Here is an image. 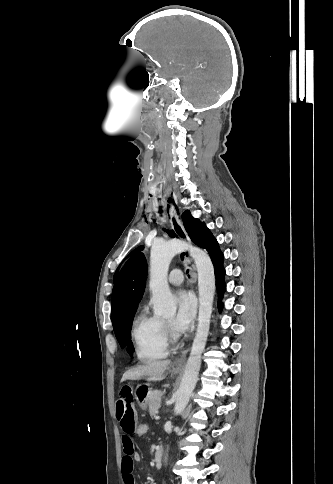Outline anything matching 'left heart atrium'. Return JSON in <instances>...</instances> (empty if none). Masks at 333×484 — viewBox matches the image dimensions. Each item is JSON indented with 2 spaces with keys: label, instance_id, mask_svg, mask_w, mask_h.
I'll use <instances>...</instances> for the list:
<instances>
[{
  "label": "left heart atrium",
  "instance_id": "1",
  "mask_svg": "<svg viewBox=\"0 0 333 484\" xmlns=\"http://www.w3.org/2000/svg\"><path fill=\"white\" fill-rule=\"evenodd\" d=\"M177 312L173 320L174 328L179 332L186 331L192 324L196 313V300L187 291H179L176 296Z\"/></svg>",
  "mask_w": 333,
  "mask_h": 484
}]
</instances>
